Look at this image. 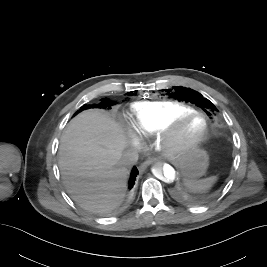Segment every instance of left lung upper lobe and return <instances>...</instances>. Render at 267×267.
Masks as SVG:
<instances>
[{
    "instance_id": "left-lung-upper-lobe-1",
    "label": "left lung upper lobe",
    "mask_w": 267,
    "mask_h": 267,
    "mask_svg": "<svg viewBox=\"0 0 267 267\" xmlns=\"http://www.w3.org/2000/svg\"><path fill=\"white\" fill-rule=\"evenodd\" d=\"M174 89H170L168 91V95L173 98H177L179 101H191L192 103H196V105H200L205 107L209 112L218 111L213 103H211L208 99H205L199 92L186 88V87H173Z\"/></svg>"
}]
</instances>
